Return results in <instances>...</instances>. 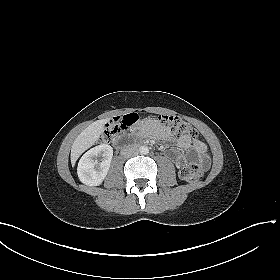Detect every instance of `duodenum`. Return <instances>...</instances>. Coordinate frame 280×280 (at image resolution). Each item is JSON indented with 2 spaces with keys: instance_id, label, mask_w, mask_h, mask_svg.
<instances>
[{
  "instance_id": "1",
  "label": "duodenum",
  "mask_w": 280,
  "mask_h": 280,
  "mask_svg": "<svg viewBox=\"0 0 280 280\" xmlns=\"http://www.w3.org/2000/svg\"><path fill=\"white\" fill-rule=\"evenodd\" d=\"M117 148H123L124 147V144L122 143V141H119L116 145Z\"/></svg>"
}]
</instances>
